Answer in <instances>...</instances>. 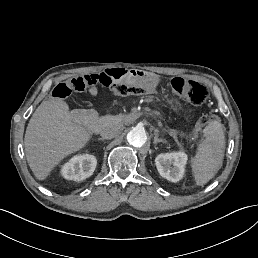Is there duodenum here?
<instances>
[{
    "instance_id": "duodenum-1",
    "label": "duodenum",
    "mask_w": 258,
    "mask_h": 258,
    "mask_svg": "<svg viewBox=\"0 0 258 258\" xmlns=\"http://www.w3.org/2000/svg\"><path fill=\"white\" fill-rule=\"evenodd\" d=\"M135 77L134 71L124 67H113L100 74V79L105 85H112Z\"/></svg>"
}]
</instances>
